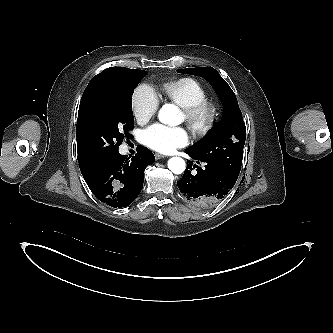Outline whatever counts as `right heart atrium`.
<instances>
[{"mask_svg": "<svg viewBox=\"0 0 333 333\" xmlns=\"http://www.w3.org/2000/svg\"><path fill=\"white\" fill-rule=\"evenodd\" d=\"M158 106V97L151 87L143 84L135 90L132 97V111L138 122H147L155 115Z\"/></svg>", "mask_w": 333, "mask_h": 333, "instance_id": "obj_1", "label": "right heart atrium"}]
</instances>
